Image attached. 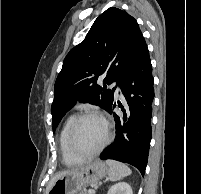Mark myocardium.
Segmentation results:
<instances>
[{
    "label": "myocardium",
    "instance_id": "f54148a6",
    "mask_svg": "<svg viewBox=\"0 0 201 194\" xmlns=\"http://www.w3.org/2000/svg\"><path fill=\"white\" fill-rule=\"evenodd\" d=\"M93 117L99 118L104 122L105 127H106V137H105L104 141L102 142V144L96 150H94L92 152H83L77 147V144H76L77 130H78L80 123L84 119L93 118ZM110 140H111V130H110L109 123L105 119V117L97 112L87 111V112L80 113L79 115H77L74 118V120L69 128V131H68L67 144H68V148H69L70 152L74 156L84 160V159H90V158H93V157L99 155L104 150V148L109 144Z\"/></svg>",
    "mask_w": 201,
    "mask_h": 194
}]
</instances>
